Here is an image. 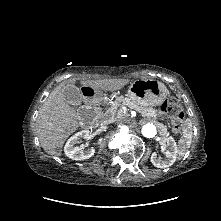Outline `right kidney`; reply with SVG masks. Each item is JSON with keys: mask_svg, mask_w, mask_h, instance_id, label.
Listing matches in <instances>:
<instances>
[{"mask_svg": "<svg viewBox=\"0 0 221 221\" xmlns=\"http://www.w3.org/2000/svg\"><path fill=\"white\" fill-rule=\"evenodd\" d=\"M90 138V131L83 130L68 139L64 147V153L67 157L73 160H84L92 157L95 153L93 148L84 149L83 147H77L82 139H89Z\"/></svg>", "mask_w": 221, "mask_h": 221, "instance_id": "obj_1", "label": "right kidney"}]
</instances>
